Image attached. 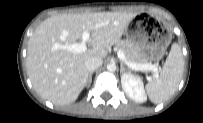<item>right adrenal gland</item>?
<instances>
[{
  "instance_id": "obj_1",
  "label": "right adrenal gland",
  "mask_w": 203,
  "mask_h": 123,
  "mask_svg": "<svg viewBox=\"0 0 203 123\" xmlns=\"http://www.w3.org/2000/svg\"><path fill=\"white\" fill-rule=\"evenodd\" d=\"M92 75H93V72H90L89 74V77H88V82H87V87L89 88L91 83H92Z\"/></svg>"
}]
</instances>
